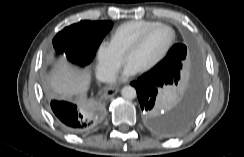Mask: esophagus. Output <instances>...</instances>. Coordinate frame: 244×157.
<instances>
[{
  "label": "esophagus",
  "mask_w": 244,
  "mask_h": 157,
  "mask_svg": "<svg viewBox=\"0 0 244 157\" xmlns=\"http://www.w3.org/2000/svg\"><path fill=\"white\" fill-rule=\"evenodd\" d=\"M118 91H119V88L108 89V90L105 92V96H106L107 98L113 97L114 95L117 94Z\"/></svg>",
  "instance_id": "esophagus-1"
}]
</instances>
